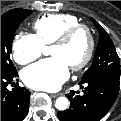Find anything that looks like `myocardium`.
I'll return each mask as SVG.
<instances>
[{
	"label": "myocardium",
	"mask_w": 121,
	"mask_h": 121,
	"mask_svg": "<svg viewBox=\"0 0 121 121\" xmlns=\"http://www.w3.org/2000/svg\"><path fill=\"white\" fill-rule=\"evenodd\" d=\"M81 31H83L86 34V36H87L88 47H87V51H86V54L83 57V59L80 62L70 66V68L73 71H80V70H82L91 61V59L93 57L94 50H95V37H94L93 31L91 30V28L88 25L83 24V23L74 25V26L70 27L69 29H67L66 31H64L53 42V45H65L76 34H78Z\"/></svg>",
	"instance_id": "1"
}]
</instances>
